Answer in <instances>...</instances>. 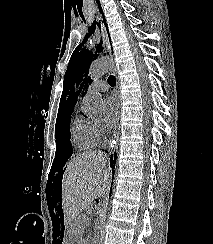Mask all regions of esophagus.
<instances>
[{"instance_id":"1","label":"esophagus","mask_w":213,"mask_h":244,"mask_svg":"<svg viewBox=\"0 0 213 244\" xmlns=\"http://www.w3.org/2000/svg\"><path fill=\"white\" fill-rule=\"evenodd\" d=\"M103 41H104V44H105V48H106V51L112 55V51H111V45H110V42L107 38H103ZM114 73L116 74V72L114 71ZM115 95L117 97V101H118V113H117V118H116V124H115V128H114V132H113V138L110 142V147H114L115 144H116V141H117V137H118V134H119V120H120V98H119V92H118V83L116 85V88H115Z\"/></svg>"}]
</instances>
